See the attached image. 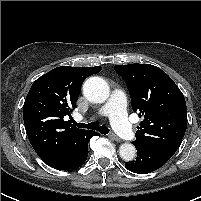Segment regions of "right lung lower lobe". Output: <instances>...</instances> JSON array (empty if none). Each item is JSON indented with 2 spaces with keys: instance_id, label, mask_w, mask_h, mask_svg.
Returning a JSON list of instances; mask_svg holds the SVG:
<instances>
[{
  "instance_id": "obj_1",
  "label": "right lung lower lobe",
  "mask_w": 201,
  "mask_h": 201,
  "mask_svg": "<svg viewBox=\"0 0 201 201\" xmlns=\"http://www.w3.org/2000/svg\"><path fill=\"white\" fill-rule=\"evenodd\" d=\"M96 135L99 134L93 131L88 133L74 157H72L70 160L63 164H59L52 167L60 170H69L76 169L82 166L88 156V142L92 136Z\"/></svg>"
}]
</instances>
